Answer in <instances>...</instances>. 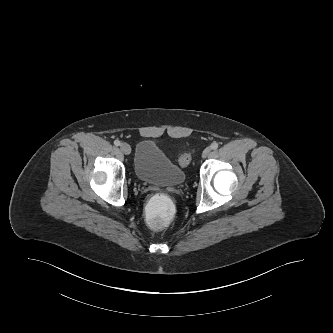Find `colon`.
Returning a JSON list of instances; mask_svg holds the SVG:
<instances>
[{
  "mask_svg": "<svg viewBox=\"0 0 333 333\" xmlns=\"http://www.w3.org/2000/svg\"><path fill=\"white\" fill-rule=\"evenodd\" d=\"M190 153L183 154L179 162L181 165H187L190 161ZM144 216L146 223L155 230H166L175 216L173 202L171 198L163 193H158L152 197L148 206L145 208Z\"/></svg>",
  "mask_w": 333,
  "mask_h": 333,
  "instance_id": "5ec220e1",
  "label": "colon"
}]
</instances>
